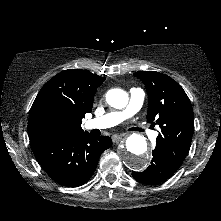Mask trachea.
Returning a JSON list of instances; mask_svg holds the SVG:
<instances>
[{
  "label": "trachea",
  "mask_w": 221,
  "mask_h": 221,
  "mask_svg": "<svg viewBox=\"0 0 221 221\" xmlns=\"http://www.w3.org/2000/svg\"><path fill=\"white\" fill-rule=\"evenodd\" d=\"M135 131H143L142 129H140V128H135Z\"/></svg>",
  "instance_id": "obj_1"
}]
</instances>
